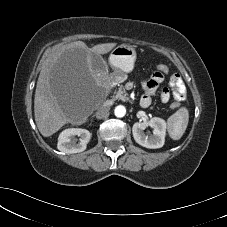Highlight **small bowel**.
Segmentation results:
<instances>
[{
  "instance_id": "obj_1",
  "label": "small bowel",
  "mask_w": 227,
  "mask_h": 227,
  "mask_svg": "<svg viewBox=\"0 0 227 227\" xmlns=\"http://www.w3.org/2000/svg\"><path fill=\"white\" fill-rule=\"evenodd\" d=\"M164 81V75L158 71H154L146 80L143 81L142 87L144 94L141 97V106L148 107L152 102V97L155 95L158 86ZM169 84L173 90V96L176 101H183L186 97V87L182 78L178 74L170 77ZM171 93L168 88L161 91V100L166 103L170 100Z\"/></svg>"
}]
</instances>
